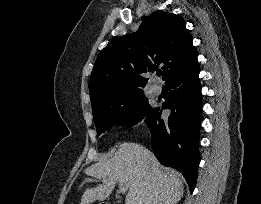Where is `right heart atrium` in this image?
Instances as JSON below:
<instances>
[{
    "instance_id": "obj_1",
    "label": "right heart atrium",
    "mask_w": 261,
    "mask_h": 204,
    "mask_svg": "<svg viewBox=\"0 0 261 204\" xmlns=\"http://www.w3.org/2000/svg\"><path fill=\"white\" fill-rule=\"evenodd\" d=\"M127 121L131 129H137L142 123L141 116L137 111L130 112Z\"/></svg>"
}]
</instances>
